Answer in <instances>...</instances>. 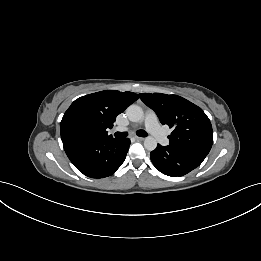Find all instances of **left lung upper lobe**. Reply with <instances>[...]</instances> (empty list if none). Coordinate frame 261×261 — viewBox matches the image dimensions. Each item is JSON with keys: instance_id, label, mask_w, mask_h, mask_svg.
I'll return each instance as SVG.
<instances>
[{"instance_id": "obj_1", "label": "left lung upper lobe", "mask_w": 261, "mask_h": 261, "mask_svg": "<svg viewBox=\"0 0 261 261\" xmlns=\"http://www.w3.org/2000/svg\"><path fill=\"white\" fill-rule=\"evenodd\" d=\"M141 100L155 111L164 125L173 129L170 146L208 154L213 143V130L204 111L177 95L141 93Z\"/></svg>"}]
</instances>
